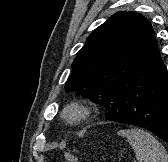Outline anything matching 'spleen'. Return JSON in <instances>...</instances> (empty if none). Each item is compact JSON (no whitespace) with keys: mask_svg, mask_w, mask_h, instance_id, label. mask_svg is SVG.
<instances>
[{"mask_svg":"<svg viewBox=\"0 0 168 162\" xmlns=\"http://www.w3.org/2000/svg\"><path fill=\"white\" fill-rule=\"evenodd\" d=\"M118 135L128 140L139 162H168L165 148L150 133L134 128L120 130Z\"/></svg>","mask_w":168,"mask_h":162,"instance_id":"1","label":"spleen"}]
</instances>
